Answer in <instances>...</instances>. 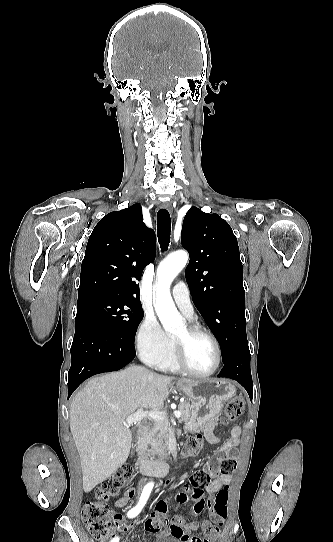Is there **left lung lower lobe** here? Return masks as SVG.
<instances>
[{
  "instance_id": "0a47b994",
  "label": "left lung lower lobe",
  "mask_w": 333,
  "mask_h": 542,
  "mask_svg": "<svg viewBox=\"0 0 333 542\" xmlns=\"http://www.w3.org/2000/svg\"><path fill=\"white\" fill-rule=\"evenodd\" d=\"M239 382L248 392L251 400L253 396V383L250 370V351L248 344L237 347L218 375Z\"/></svg>"
}]
</instances>
